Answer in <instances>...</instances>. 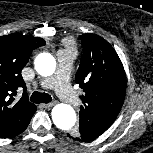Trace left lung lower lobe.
I'll return each instance as SVG.
<instances>
[{
	"label": "left lung lower lobe",
	"instance_id": "left-lung-lower-lobe-1",
	"mask_svg": "<svg viewBox=\"0 0 153 153\" xmlns=\"http://www.w3.org/2000/svg\"><path fill=\"white\" fill-rule=\"evenodd\" d=\"M68 136H69L70 138H73L72 136H70V134H68ZM75 139H76V140H82V141H89V139H86V138H83V137H76Z\"/></svg>",
	"mask_w": 153,
	"mask_h": 153
}]
</instances>
